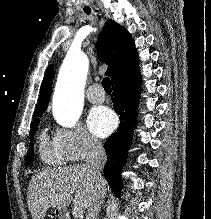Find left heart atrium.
I'll list each match as a JSON object with an SVG mask.
<instances>
[{
  "instance_id": "39dd6f15",
  "label": "left heart atrium",
  "mask_w": 211,
  "mask_h": 219,
  "mask_svg": "<svg viewBox=\"0 0 211 219\" xmlns=\"http://www.w3.org/2000/svg\"><path fill=\"white\" fill-rule=\"evenodd\" d=\"M88 125L92 133L105 137L115 128L116 118L110 109L96 107L89 114Z\"/></svg>"
}]
</instances>
